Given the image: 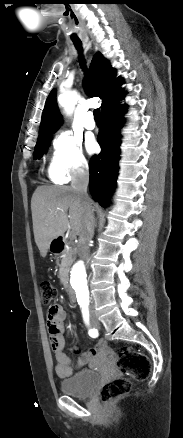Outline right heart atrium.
I'll use <instances>...</instances> for the list:
<instances>
[{
    "mask_svg": "<svg viewBox=\"0 0 183 438\" xmlns=\"http://www.w3.org/2000/svg\"><path fill=\"white\" fill-rule=\"evenodd\" d=\"M87 169L88 161L80 139L69 131L59 132L52 142V157L48 168L50 178L59 183L67 182Z\"/></svg>",
    "mask_w": 183,
    "mask_h": 438,
    "instance_id": "right-heart-atrium-1",
    "label": "right heart atrium"
}]
</instances>
